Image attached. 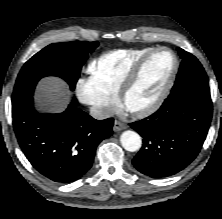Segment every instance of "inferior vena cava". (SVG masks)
I'll return each instance as SVG.
<instances>
[{"mask_svg": "<svg viewBox=\"0 0 222 219\" xmlns=\"http://www.w3.org/2000/svg\"><path fill=\"white\" fill-rule=\"evenodd\" d=\"M112 111L108 108L95 107L90 108V115L95 119H106L112 116Z\"/></svg>", "mask_w": 222, "mask_h": 219, "instance_id": "obj_1", "label": "inferior vena cava"}]
</instances>
